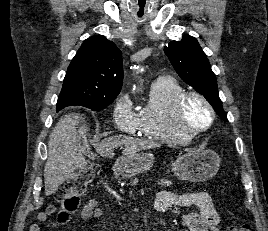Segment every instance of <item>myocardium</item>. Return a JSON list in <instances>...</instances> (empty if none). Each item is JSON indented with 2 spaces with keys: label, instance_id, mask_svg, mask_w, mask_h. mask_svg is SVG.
<instances>
[{
  "label": "myocardium",
  "instance_id": "f54148a6",
  "mask_svg": "<svg viewBox=\"0 0 268 231\" xmlns=\"http://www.w3.org/2000/svg\"><path fill=\"white\" fill-rule=\"evenodd\" d=\"M191 98H195L199 100L200 102H202L207 107L210 113V121L206 125L200 126L194 130H188L187 128L183 126V123H182L184 106L186 104V101ZM214 119H215L214 108L212 104L210 103V101L203 94L197 91H183L176 97L174 101V105H173V121H174L176 130L181 134V136L185 140L193 138L203 133L204 131H206L208 128L212 126Z\"/></svg>",
  "mask_w": 268,
  "mask_h": 231
}]
</instances>
